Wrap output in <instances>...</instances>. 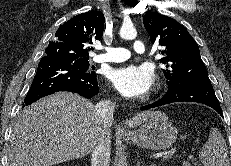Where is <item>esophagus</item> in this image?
<instances>
[{"label": "esophagus", "instance_id": "34e87169", "mask_svg": "<svg viewBox=\"0 0 231 166\" xmlns=\"http://www.w3.org/2000/svg\"><path fill=\"white\" fill-rule=\"evenodd\" d=\"M119 133L126 134L128 131L125 128H119L118 129Z\"/></svg>", "mask_w": 231, "mask_h": 166}]
</instances>
